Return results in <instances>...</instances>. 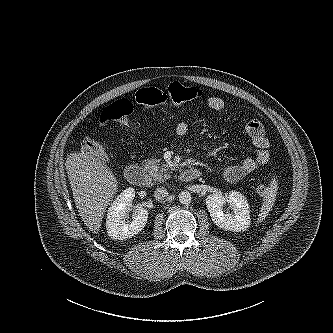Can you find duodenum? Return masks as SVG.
I'll return each instance as SVG.
<instances>
[{
    "mask_svg": "<svg viewBox=\"0 0 333 333\" xmlns=\"http://www.w3.org/2000/svg\"><path fill=\"white\" fill-rule=\"evenodd\" d=\"M201 176V171L197 168H187L180 174V179L184 182H190L196 180ZM125 177L129 183L135 186H146L150 184V181L143 170V168L137 164H131L125 169Z\"/></svg>",
    "mask_w": 333,
    "mask_h": 333,
    "instance_id": "410a0bca",
    "label": "duodenum"
}]
</instances>
